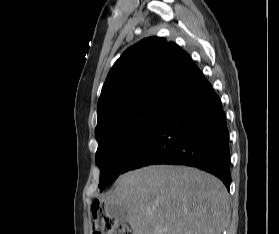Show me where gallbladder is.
Listing matches in <instances>:
<instances>
[{"instance_id":"1","label":"gallbladder","mask_w":279,"mask_h":234,"mask_svg":"<svg viewBox=\"0 0 279 234\" xmlns=\"http://www.w3.org/2000/svg\"><path fill=\"white\" fill-rule=\"evenodd\" d=\"M107 212L112 218L117 219L118 221L124 223L128 222V213L123 206L120 205L107 206Z\"/></svg>"}]
</instances>
